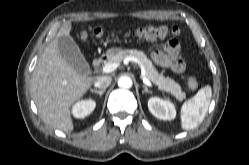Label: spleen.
<instances>
[{
  "mask_svg": "<svg viewBox=\"0 0 249 165\" xmlns=\"http://www.w3.org/2000/svg\"><path fill=\"white\" fill-rule=\"evenodd\" d=\"M212 91L209 85L201 88L197 94L187 100L181 108V126L185 130H190L202 122L210 101Z\"/></svg>",
  "mask_w": 249,
  "mask_h": 165,
  "instance_id": "3e777b00",
  "label": "spleen"
}]
</instances>
